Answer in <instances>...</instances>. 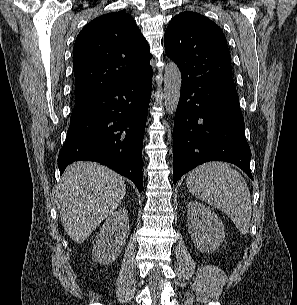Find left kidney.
Returning a JSON list of instances; mask_svg holds the SVG:
<instances>
[{"label": "left kidney", "mask_w": 297, "mask_h": 305, "mask_svg": "<svg viewBox=\"0 0 297 305\" xmlns=\"http://www.w3.org/2000/svg\"><path fill=\"white\" fill-rule=\"evenodd\" d=\"M187 227L195 247L202 253L214 252L225 238L217 214L197 201L187 205Z\"/></svg>", "instance_id": "obj_1"}]
</instances>
